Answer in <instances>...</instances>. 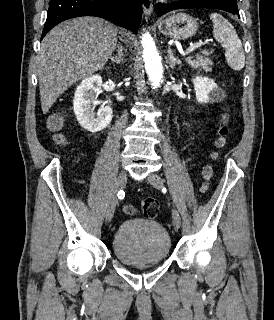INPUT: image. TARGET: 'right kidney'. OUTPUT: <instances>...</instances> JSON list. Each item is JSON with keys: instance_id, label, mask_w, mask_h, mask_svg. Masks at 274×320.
<instances>
[{"instance_id": "right-kidney-1", "label": "right kidney", "mask_w": 274, "mask_h": 320, "mask_svg": "<svg viewBox=\"0 0 274 320\" xmlns=\"http://www.w3.org/2000/svg\"><path fill=\"white\" fill-rule=\"evenodd\" d=\"M101 76H90L84 78L77 86L73 100V110L78 124L87 132H101L109 126L113 118V110L110 106H101L98 112H94L95 106H98L97 96L101 92ZM93 104V106H92Z\"/></svg>"}]
</instances>
